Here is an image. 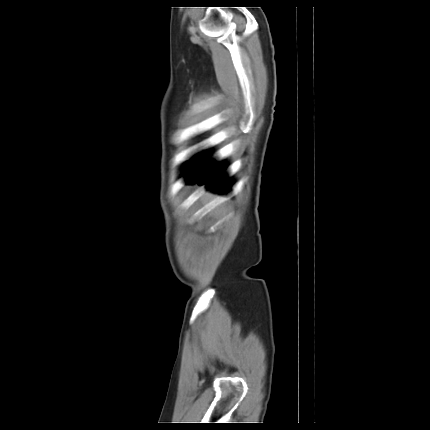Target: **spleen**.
Instances as JSON below:
<instances>
[{
  "label": "spleen",
  "mask_w": 430,
  "mask_h": 430,
  "mask_svg": "<svg viewBox=\"0 0 430 430\" xmlns=\"http://www.w3.org/2000/svg\"><path fill=\"white\" fill-rule=\"evenodd\" d=\"M216 210H217V211H219V210H218V207L216 208ZM216 210H215V211H216Z\"/></svg>",
  "instance_id": "3e777b00"
}]
</instances>
